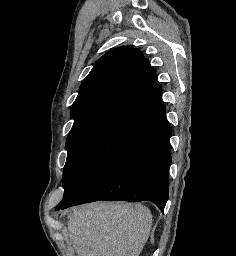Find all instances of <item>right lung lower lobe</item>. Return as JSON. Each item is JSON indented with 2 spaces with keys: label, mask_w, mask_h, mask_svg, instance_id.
Masks as SVG:
<instances>
[{
  "label": "right lung lower lobe",
  "mask_w": 236,
  "mask_h": 256,
  "mask_svg": "<svg viewBox=\"0 0 236 256\" xmlns=\"http://www.w3.org/2000/svg\"><path fill=\"white\" fill-rule=\"evenodd\" d=\"M170 137L166 117L151 124L106 159L56 210L98 200H147L164 212L171 164Z\"/></svg>",
  "instance_id": "right-lung-lower-lobe-1"
}]
</instances>
